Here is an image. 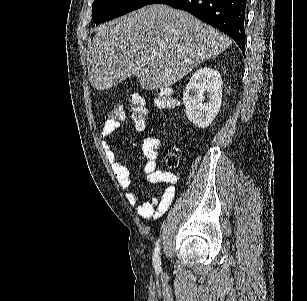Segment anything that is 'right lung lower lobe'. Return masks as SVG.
Returning a JSON list of instances; mask_svg holds the SVG:
<instances>
[{
  "label": "right lung lower lobe",
  "mask_w": 307,
  "mask_h": 301,
  "mask_svg": "<svg viewBox=\"0 0 307 301\" xmlns=\"http://www.w3.org/2000/svg\"><path fill=\"white\" fill-rule=\"evenodd\" d=\"M157 3L185 10L218 28L244 53L247 0H150L148 4Z\"/></svg>",
  "instance_id": "1"
}]
</instances>
